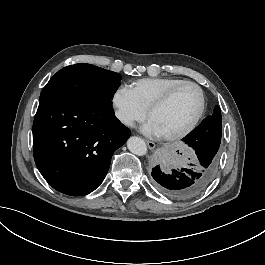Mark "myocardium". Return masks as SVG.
Returning a JSON list of instances; mask_svg holds the SVG:
<instances>
[{
  "instance_id": "f54148a6",
  "label": "myocardium",
  "mask_w": 265,
  "mask_h": 265,
  "mask_svg": "<svg viewBox=\"0 0 265 265\" xmlns=\"http://www.w3.org/2000/svg\"><path fill=\"white\" fill-rule=\"evenodd\" d=\"M186 86H193L194 88L197 89L200 96L199 109L193 120L185 128L173 134L162 136V139L165 141H174L186 137L197 127V125L204 116L206 109L205 91L196 82L185 80L170 88L162 97H160L158 101L149 108L147 112V117L150 118L152 113L164 107L180 89Z\"/></svg>"
}]
</instances>
